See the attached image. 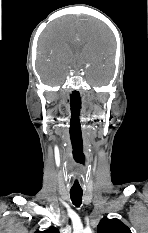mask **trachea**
Listing matches in <instances>:
<instances>
[{
  "instance_id": "1",
  "label": "trachea",
  "mask_w": 148,
  "mask_h": 233,
  "mask_svg": "<svg viewBox=\"0 0 148 233\" xmlns=\"http://www.w3.org/2000/svg\"><path fill=\"white\" fill-rule=\"evenodd\" d=\"M82 191H70V197L72 200V203L76 206L79 207L82 203Z\"/></svg>"
}]
</instances>
